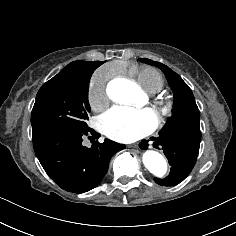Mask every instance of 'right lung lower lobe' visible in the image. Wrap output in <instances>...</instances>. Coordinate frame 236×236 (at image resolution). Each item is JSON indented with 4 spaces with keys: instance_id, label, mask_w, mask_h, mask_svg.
Masks as SVG:
<instances>
[{
    "instance_id": "obj_1",
    "label": "right lung lower lobe",
    "mask_w": 236,
    "mask_h": 236,
    "mask_svg": "<svg viewBox=\"0 0 236 236\" xmlns=\"http://www.w3.org/2000/svg\"><path fill=\"white\" fill-rule=\"evenodd\" d=\"M84 131L58 128L33 134V147L46 173L62 189L84 193L96 187L108 170L110 158L125 148L109 139L96 142L91 148L82 145ZM98 138V137H97Z\"/></svg>"
}]
</instances>
